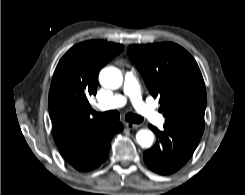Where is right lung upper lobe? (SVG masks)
Instances as JSON below:
<instances>
[{
	"label": "right lung upper lobe",
	"instance_id": "obj_1",
	"mask_svg": "<svg viewBox=\"0 0 245 195\" xmlns=\"http://www.w3.org/2000/svg\"><path fill=\"white\" fill-rule=\"evenodd\" d=\"M123 49L121 44L85 41L67 51L55 69L48 100L53 138L77 170L93 164L97 136L108 123L90 118L88 97L97 92L99 70Z\"/></svg>",
	"mask_w": 245,
	"mask_h": 195
}]
</instances>
